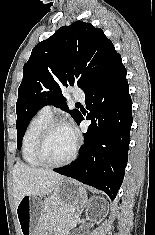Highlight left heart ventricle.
<instances>
[{"instance_id":"left-heart-ventricle-1","label":"left heart ventricle","mask_w":155,"mask_h":235,"mask_svg":"<svg viewBox=\"0 0 155 235\" xmlns=\"http://www.w3.org/2000/svg\"><path fill=\"white\" fill-rule=\"evenodd\" d=\"M75 144V136L70 128L55 127L49 135L44 153L51 162L62 161L67 158Z\"/></svg>"}]
</instances>
